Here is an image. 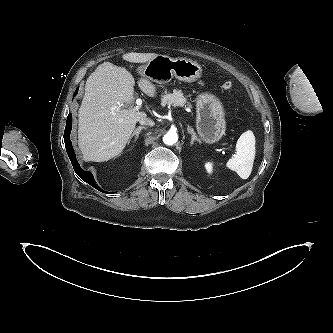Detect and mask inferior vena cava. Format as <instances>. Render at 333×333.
Listing matches in <instances>:
<instances>
[{
  "instance_id": "obj_1",
  "label": "inferior vena cava",
  "mask_w": 333,
  "mask_h": 333,
  "mask_svg": "<svg viewBox=\"0 0 333 333\" xmlns=\"http://www.w3.org/2000/svg\"><path fill=\"white\" fill-rule=\"evenodd\" d=\"M139 123L141 125H148V126L154 125V121H152L150 118H146V117L139 119Z\"/></svg>"
}]
</instances>
